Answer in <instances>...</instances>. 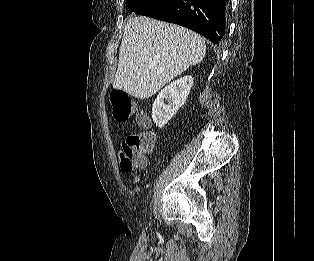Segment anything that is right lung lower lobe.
Masks as SVG:
<instances>
[{"instance_id": "98d812e1", "label": "right lung lower lobe", "mask_w": 314, "mask_h": 261, "mask_svg": "<svg viewBox=\"0 0 314 261\" xmlns=\"http://www.w3.org/2000/svg\"><path fill=\"white\" fill-rule=\"evenodd\" d=\"M227 14L228 0H165L144 15L184 26L220 44Z\"/></svg>"}]
</instances>
